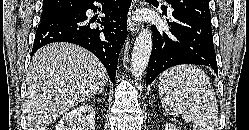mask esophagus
Masks as SVG:
<instances>
[{"label":"esophagus","mask_w":249,"mask_h":130,"mask_svg":"<svg viewBox=\"0 0 249 130\" xmlns=\"http://www.w3.org/2000/svg\"><path fill=\"white\" fill-rule=\"evenodd\" d=\"M143 4L142 0H133L131 10L129 12L128 18V30L131 34H136L139 31L140 25L134 20V9L136 6H141Z\"/></svg>","instance_id":"34e87169"}]
</instances>
